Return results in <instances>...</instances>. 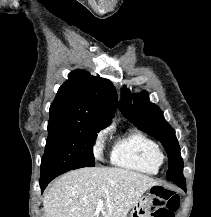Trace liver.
<instances>
[{
  "mask_svg": "<svg viewBox=\"0 0 211 217\" xmlns=\"http://www.w3.org/2000/svg\"><path fill=\"white\" fill-rule=\"evenodd\" d=\"M153 178L123 168H81L61 176L45 194V217H127ZM103 208L97 211L99 200Z\"/></svg>",
  "mask_w": 211,
  "mask_h": 217,
  "instance_id": "obj_1",
  "label": "liver"
}]
</instances>
